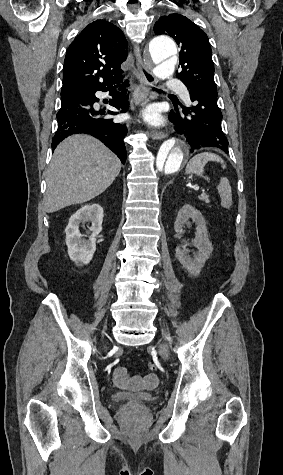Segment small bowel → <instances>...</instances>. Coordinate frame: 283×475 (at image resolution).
<instances>
[{"instance_id": "1", "label": "small bowel", "mask_w": 283, "mask_h": 475, "mask_svg": "<svg viewBox=\"0 0 283 475\" xmlns=\"http://www.w3.org/2000/svg\"><path fill=\"white\" fill-rule=\"evenodd\" d=\"M113 383L116 387L120 389H127L130 386V377L127 373L126 368L122 366H118L114 369L112 374ZM143 381L147 385V387L152 388L158 382V377L155 374H149L143 378ZM133 384L138 385L141 382L140 373L134 372L133 373Z\"/></svg>"}]
</instances>
